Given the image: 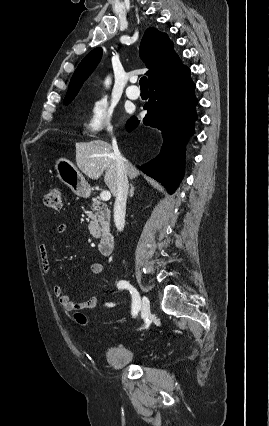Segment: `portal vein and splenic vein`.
I'll return each instance as SVG.
<instances>
[{"instance_id":"obj_1","label":"portal vein and splenic vein","mask_w":269,"mask_h":426,"mask_svg":"<svg viewBox=\"0 0 269 426\" xmlns=\"http://www.w3.org/2000/svg\"><path fill=\"white\" fill-rule=\"evenodd\" d=\"M111 198V193L109 191H102L100 193V199L102 201H109Z\"/></svg>"}]
</instances>
